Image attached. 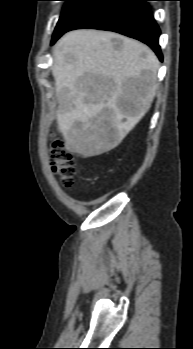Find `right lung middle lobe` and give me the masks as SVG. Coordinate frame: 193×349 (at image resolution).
I'll return each mask as SVG.
<instances>
[{
  "mask_svg": "<svg viewBox=\"0 0 193 349\" xmlns=\"http://www.w3.org/2000/svg\"><path fill=\"white\" fill-rule=\"evenodd\" d=\"M66 4L63 8L62 14L56 25L52 40L63 34L68 28H70L75 22H77L82 16L90 11L94 6L100 3L102 0H63Z\"/></svg>",
  "mask_w": 193,
  "mask_h": 349,
  "instance_id": "right-lung-middle-lobe-1",
  "label": "right lung middle lobe"
}]
</instances>
